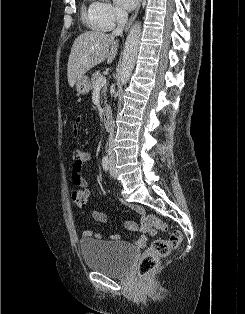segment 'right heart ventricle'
<instances>
[{"instance_id":"obj_1","label":"right heart ventricle","mask_w":245,"mask_h":314,"mask_svg":"<svg viewBox=\"0 0 245 314\" xmlns=\"http://www.w3.org/2000/svg\"><path fill=\"white\" fill-rule=\"evenodd\" d=\"M82 18L83 20L90 25L91 27L95 28V21L93 15V4L87 6H82Z\"/></svg>"}]
</instances>
